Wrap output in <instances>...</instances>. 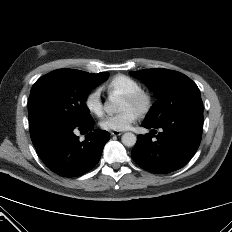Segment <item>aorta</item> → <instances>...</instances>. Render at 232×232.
Here are the masks:
<instances>
[{"label":"aorta","mask_w":232,"mask_h":232,"mask_svg":"<svg viewBox=\"0 0 232 232\" xmlns=\"http://www.w3.org/2000/svg\"><path fill=\"white\" fill-rule=\"evenodd\" d=\"M104 109L108 114L120 112L122 109V99L118 96L110 97L109 101L105 103ZM121 140L125 146L132 147L136 144L137 138L133 133L127 132L122 135Z\"/></svg>","instance_id":"1"}]
</instances>
